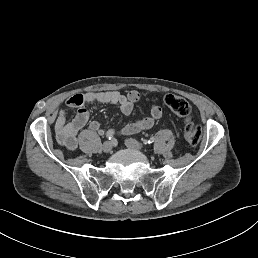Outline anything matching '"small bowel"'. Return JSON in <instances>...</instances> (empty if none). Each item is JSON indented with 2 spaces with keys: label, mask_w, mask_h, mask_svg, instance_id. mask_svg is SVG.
I'll list each match as a JSON object with an SVG mask.
<instances>
[{
  "label": "small bowel",
  "mask_w": 258,
  "mask_h": 258,
  "mask_svg": "<svg viewBox=\"0 0 258 258\" xmlns=\"http://www.w3.org/2000/svg\"><path fill=\"white\" fill-rule=\"evenodd\" d=\"M140 100V94L136 90L122 94L118 91H91L75 94L66 100V106L76 109L77 112L72 120H68L65 110H60L55 121V133L60 145L69 150H75L78 146V134L87 124L89 110L86 105L110 104L118 107L121 112L129 116L133 112L135 103ZM162 117V109L153 98L150 105V115L134 120L125 125L120 133L132 135L142 130L151 128ZM88 131L94 134H104L101 123L92 120L88 124Z\"/></svg>",
  "instance_id": "c3829d8e"
}]
</instances>
